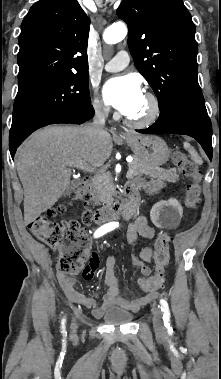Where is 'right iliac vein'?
Masks as SVG:
<instances>
[{
  "label": "right iliac vein",
  "instance_id": "63e3f726",
  "mask_svg": "<svg viewBox=\"0 0 221 379\" xmlns=\"http://www.w3.org/2000/svg\"><path fill=\"white\" fill-rule=\"evenodd\" d=\"M71 328H72V332L75 333L77 329V324L73 322Z\"/></svg>",
  "mask_w": 221,
  "mask_h": 379
}]
</instances>
